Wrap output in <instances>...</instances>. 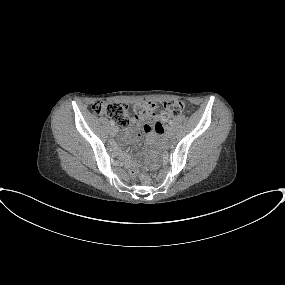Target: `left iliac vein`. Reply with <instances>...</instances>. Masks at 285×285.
<instances>
[{
  "label": "left iliac vein",
  "instance_id": "obj_1",
  "mask_svg": "<svg viewBox=\"0 0 285 285\" xmlns=\"http://www.w3.org/2000/svg\"><path fill=\"white\" fill-rule=\"evenodd\" d=\"M166 134L168 137H173L174 136V130L171 127H168L166 130Z\"/></svg>",
  "mask_w": 285,
  "mask_h": 285
}]
</instances>
